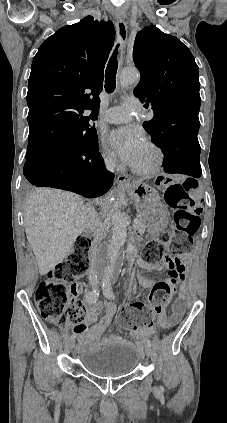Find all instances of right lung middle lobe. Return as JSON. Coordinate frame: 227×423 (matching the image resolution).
<instances>
[{
    "label": "right lung middle lobe",
    "instance_id": "1",
    "mask_svg": "<svg viewBox=\"0 0 227 423\" xmlns=\"http://www.w3.org/2000/svg\"><path fill=\"white\" fill-rule=\"evenodd\" d=\"M98 138L96 133L90 134L66 147H64L63 151L66 153H76L88 150L94 146H97ZM37 155H26V159H30Z\"/></svg>",
    "mask_w": 227,
    "mask_h": 423
}]
</instances>
